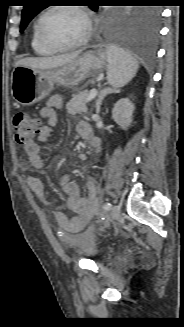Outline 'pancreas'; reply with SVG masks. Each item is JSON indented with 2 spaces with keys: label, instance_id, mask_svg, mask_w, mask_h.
<instances>
[{
  "label": "pancreas",
  "instance_id": "pancreas-1",
  "mask_svg": "<svg viewBox=\"0 0 184 327\" xmlns=\"http://www.w3.org/2000/svg\"><path fill=\"white\" fill-rule=\"evenodd\" d=\"M90 93L82 91L72 96V99L66 104L67 113L74 115L79 112L85 111L87 99Z\"/></svg>",
  "mask_w": 184,
  "mask_h": 327
}]
</instances>
